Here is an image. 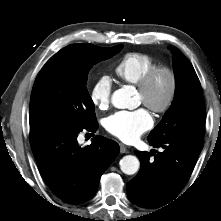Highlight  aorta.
I'll return each instance as SVG.
<instances>
[{
  "label": "aorta",
  "mask_w": 221,
  "mask_h": 221,
  "mask_svg": "<svg viewBox=\"0 0 221 221\" xmlns=\"http://www.w3.org/2000/svg\"><path fill=\"white\" fill-rule=\"evenodd\" d=\"M134 91L131 87L125 86L116 90L111 97V102L118 109L129 108L132 105ZM140 167V162L136 156L126 155L120 160V169L127 175L135 174Z\"/></svg>",
  "instance_id": "1"
}]
</instances>
